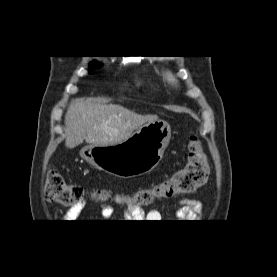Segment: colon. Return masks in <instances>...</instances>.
<instances>
[{
  "label": "colon",
  "instance_id": "colon-1",
  "mask_svg": "<svg viewBox=\"0 0 277 277\" xmlns=\"http://www.w3.org/2000/svg\"><path fill=\"white\" fill-rule=\"evenodd\" d=\"M209 167L201 140L193 135L188 143V159L183 168L155 188L135 191L128 201L138 206H146L155 198H168L179 194H190L200 188L207 180ZM98 198L108 197L106 191H96ZM44 196L50 202L64 206H75L85 200L86 191L76 184H68L57 170H49L44 186Z\"/></svg>",
  "mask_w": 277,
  "mask_h": 277
}]
</instances>
